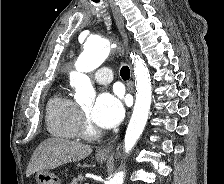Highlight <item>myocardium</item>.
I'll return each mask as SVG.
<instances>
[{
    "label": "myocardium",
    "instance_id": "f54148a6",
    "mask_svg": "<svg viewBox=\"0 0 224 184\" xmlns=\"http://www.w3.org/2000/svg\"><path fill=\"white\" fill-rule=\"evenodd\" d=\"M79 134L86 139H95L100 136V131L90 122L85 111H81Z\"/></svg>",
    "mask_w": 224,
    "mask_h": 184
}]
</instances>
